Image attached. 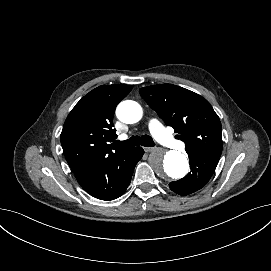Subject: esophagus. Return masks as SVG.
I'll use <instances>...</instances> for the list:
<instances>
[{"label": "esophagus", "instance_id": "34e87169", "mask_svg": "<svg viewBox=\"0 0 271 271\" xmlns=\"http://www.w3.org/2000/svg\"><path fill=\"white\" fill-rule=\"evenodd\" d=\"M145 152H153L155 151L157 148L156 147H144L143 148Z\"/></svg>", "mask_w": 271, "mask_h": 271}]
</instances>
